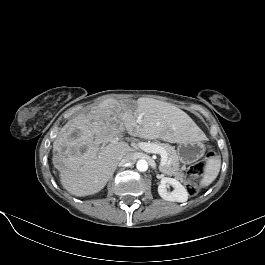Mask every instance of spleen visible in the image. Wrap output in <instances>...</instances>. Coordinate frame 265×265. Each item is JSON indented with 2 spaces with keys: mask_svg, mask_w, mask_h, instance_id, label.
<instances>
[{
  "mask_svg": "<svg viewBox=\"0 0 265 265\" xmlns=\"http://www.w3.org/2000/svg\"><path fill=\"white\" fill-rule=\"evenodd\" d=\"M221 167L220 157H211L205 167L203 178L201 180V186L206 187L210 185L218 176Z\"/></svg>",
  "mask_w": 265,
  "mask_h": 265,
  "instance_id": "obj_1",
  "label": "spleen"
}]
</instances>
